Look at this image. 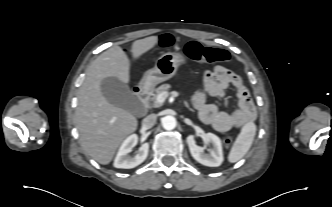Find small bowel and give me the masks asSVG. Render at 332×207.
I'll list each match as a JSON object with an SVG mask.
<instances>
[{
	"label": "small bowel",
	"instance_id": "1",
	"mask_svg": "<svg viewBox=\"0 0 332 207\" xmlns=\"http://www.w3.org/2000/svg\"><path fill=\"white\" fill-rule=\"evenodd\" d=\"M204 88L192 97V105L200 120L218 132L238 128L256 117V109L242 78L230 70L217 66L203 73ZM227 88H232L239 100L233 112L222 111L219 104L209 103L208 97L222 98Z\"/></svg>",
	"mask_w": 332,
	"mask_h": 207
}]
</instances>
